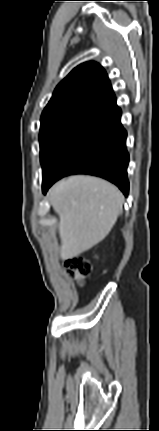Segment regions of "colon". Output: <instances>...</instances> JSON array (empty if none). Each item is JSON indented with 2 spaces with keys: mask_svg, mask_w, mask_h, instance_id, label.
Listing matches in <instances>:
<instances>
[{
  "mask_svg": "<svg viewBox=\"0 0 159 431\" xmlns=\"http://www.w3.org/2000/svg\"><path fill=\"white\" fill-rule=\"evenodd\" d=\"M67 275L74 279L78 285H84V279L91 272V265L88 260L82 256H74L65 262Z\"/></svg>",
  "mask_w": 159,
  "mask_h": 431,
  "instance_id": "5ec220e1",
  "label": "colon"
}]
</instances>
